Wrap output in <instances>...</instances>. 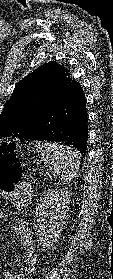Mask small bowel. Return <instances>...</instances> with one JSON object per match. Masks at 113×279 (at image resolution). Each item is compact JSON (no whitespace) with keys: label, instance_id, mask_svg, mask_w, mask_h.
Wrapping results in <instances>:
<instances>
[{"label":"small bowel","instance_id":"small-bowel-1","mask_svg":"<svg viewBox=\"0 0 113 279\" xmlns=\"http://www.w3.org/2000/svg\"><path fill=\"white\" fill-rule=\"evenodd\" d=\"M1 200L11 201L18 207H23L28 201V195L24 192L16 194L6 195L0 193ZM3 217V213L0 212V218ZM13 231L19 237L21 247L24 249V267L18 272L2 271L0 265L1 279H26L33 274L37 266V256L35 254V246L32 238V231L28 227L24 220H16L13 224Z\"/></svg>","mask_w":113,"mask_h":279}]
</instances>
